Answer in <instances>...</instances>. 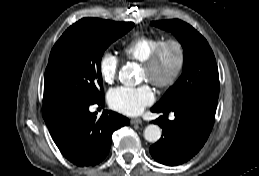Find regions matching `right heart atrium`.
<instances>
[{
    "instance_id": "1",
    "label": "right heart atrium",
    "mask_w": 259,
    "mask_h": 176,
    "mask_svg": "<svg viewBox=\"0 0 259 176\" xmlns=\"http://www.w3.org/2000/svg\"><path fill=\"white\" fill-rule=\"evenodd\" d=\"M120 60L119 58L109 52L102 53L98 62V72L102 81L106 84H112L118 75Z\"/></svg>"
}]
</instances>
